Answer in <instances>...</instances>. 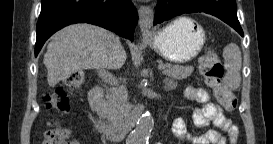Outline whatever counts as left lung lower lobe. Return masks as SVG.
Segmentation results:
<instances>
[{
    "label": "left lung lower lobe",
    "instance_id": "1",
    "mask_svg": "<svg viewBox=\"0 0 273 144\" xmlns=\"http://www.w3.org/2000/svg\"><path fill=\"white\" fill-rule=\"evenodd\" d=\"M193 12H205L216 16L243 36L237 18L235 0H158L153 24L156 25L173 17Z\"/></svg>",
    "mask_w": 273,
    "mask_h": 144
}]
</instances>
